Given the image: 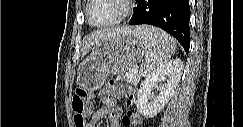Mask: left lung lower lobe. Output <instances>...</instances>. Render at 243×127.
Listing matches in <instances>:
<instances>
[{
  "mask_svg": "<svg viewBox=\"0 0 243 127\" xmlns=\"http://www.w3.org/2000/svg\"><path fill=\"white\" fill-rule=\"evenodd\" d=\"M130 25L149 24L174 36L188 53L190 46L189 0H138Z\"/></svg>",
  "mask_w": 243,
  "mask_h": 127,
  "instance_id": "0a47b994",
  "label": "left lung lower lobe"
}]
</instances>
